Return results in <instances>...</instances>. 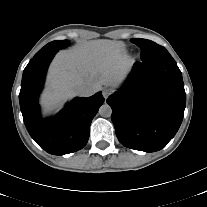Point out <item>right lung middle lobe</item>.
Masks as SVG:
<instances>
[{"label": "right lung middle lobe", "mask_w": 207, "mask_h": 207, "mask_svg": "<svg viewBox=\"0 0 207 207\" xmlns=\"http://www.w3.org/2000/svg\"><path fill=\"white\" fill-rule=\"evenodd\" d=\"M69 45V41L68 40H56V41H52L48 44H46L42 49H40L35 55H41L44 53H48V52H57L60 49H63L65 47H67Z\"/></svg>", "instance_id": "dd1d6c3e"}]
</instances>
